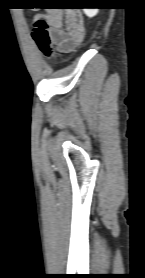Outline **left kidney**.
Wrapping results in <instances>:
<instances>
[{"mask_svg": "<svg viewBox=\"0 0 145 278\" xmlns=\"http://www.w3.org/2000/svg\"><path fill=\"white\" fill-rule=\"evenodd\" d=\"M98 10H99L98 8H83L84 13L88 17H94L95 15H97Z\"/></svg>", "mask_w": 145, "mask_h": 278, "instance_id": "obj_1", "label": "left kidney"}]
</instances>
